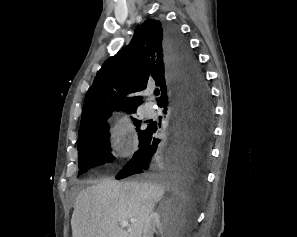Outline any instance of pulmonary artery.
<instances>
[{
    "label": "pulmonary artery",
    "mask_w": 297,
    "mask_h": 237,
    "mask_svg": "<svg viewBox=\"0 0 297 237\" xmlns=\"http://www.w3.org/2000/svg\"><path fill=\"white\" fill-rule=\"evenodd\" d=\"M145 111H146V114L147 116H154L156 114V107L153 103H147L145 105Z\"/></svg>",
    "instance_id": "e3ab8cb5"
}]
</instances>
